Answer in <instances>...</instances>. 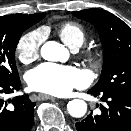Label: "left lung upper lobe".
I'll list each match as a JSON object with an SVG mask.
<instances>
[{"label":"left lung upper lobe","mask_w":131,"mask_h":131,"mask_svg":"<svg viewBox=\"0 0 131 131\" xmlns=\"http://www.w3.org/2000/svg\"><path fill=\"white\" fill-rule=\"evenodd\" d=\"M73 15L95 26L104 49L101 77L92 89L131 94V28L101 9L75 11Z\"/></svg>","instance_id":"5c2ea615"}]
</instances>
